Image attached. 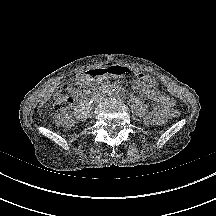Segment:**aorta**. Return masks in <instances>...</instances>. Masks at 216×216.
Returning <instances> with one entry per match:
<instances>
[{
    "mask_svg": "<svg viewBox=\"0 0 216 216\" xmlns=\"http://www.w3.org/2000/svg\"><path fill=\"white\" fill-rule=\"evenodd\" d=\"M111 96H118L119 95V91L117 89H113L110 93Z\"/></svg>",
    "mask_w": 216,
    "mask_h": 216,
    "instance_id": "762f6f07",
    "label": "aorta"
}]
</instances>
